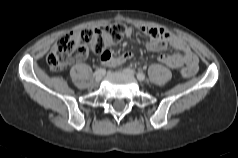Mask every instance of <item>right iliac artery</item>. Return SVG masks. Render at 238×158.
Masks as SVG:
<instances>
[{
	"label": "right iliac artery",
	"instance_id": "right-iliac-artery-1",
	"mask_svg": "<svg viewBox=\"0 0 238 158\" xmlns=\"http://www.w3.org/2000/svg\"><path fill=\"white\" fill-rule=\"evenodd\" d=\"M104 73H105V69L104 68H99L94 72V76L102 75Z\"/></svg>",
	"mask_w": 238,
	"mask_h": 158
}]
</instances>
